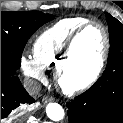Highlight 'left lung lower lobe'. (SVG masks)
Returning a JSON list of instances; mask_svg holds the SVG:
<instances>
[{
	"instance_id": "obj_1",
	"label": "left lung lower lobe",
	"mask_w": 123,
	"mask_h": 123,
	"mask_svg": "<svg viewBox=\"0 0 123 123\" xmlns=\"http://www.w3.org/2000/svg\"><path fill=\"white\" fill-rule=\"evenodd\" d=\"M69 123H123V77L98 80L67 104Z\"/></svg>"
}]
</instances>
